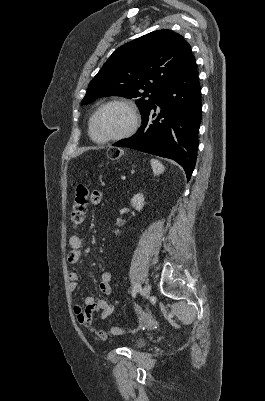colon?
Returning a JSON list of instances; mask_svg holds the SVG:
<instances>
[{
	"mask_svg": "<svg viewBox=\"0 0 265 401\" xmlns=\"http://www.w3.org/2000/svg\"><path fill=\"white\" fill-rule=\"evenodd\" d=\"M122 152L119 149L113 148L109 151V156L112 159H118L121 156ZM89 198L88 188L80 184L77 186L75 195H74V203L70 213V221L73 227H79L85 216L86 207ZM95 335H98V331L94 330L92 327L89 328ZM133 328H120V327H112L109 332L113 335H124L128 333L134 332Z\"/></svg>",
	"mask_w": 265,
	"mask_h": 401,
	"instance_id": "colon-1",
	"label": "colon"
}]
</instances>
